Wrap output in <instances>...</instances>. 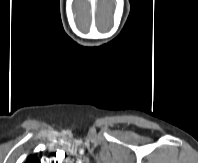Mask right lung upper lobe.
I'll use <instances>...</instances> for the list:
<instances>
[{
	"instance_id": "right-lung-upper-lobe-1",
	"label": "right lung upper lobe",
	"mask_w": 198,
	"mask_h": 163,
	"mask_svg": "<svg viewBox=\"0 0 198 163\" xmlns=\"http://www.w3.org/2000/svg\"><path fill=\"white\" fill-rule=\"evenodd\" d=\"M25 163H40V160L36 156H29Z\"/></svg>"
}]
</instances>
